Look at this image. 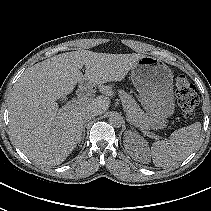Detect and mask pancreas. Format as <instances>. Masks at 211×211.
<instances>
[{"mask_svg":"<svg viewBox=\"0 0 211 211\" xmlns=\"http://www.w3.org/2000/svg\"><path fill=\"white\" fill-rule=\"evenodd\" d=\"M120 101L122 102L123 109L126 112L127 117L130 119V122L143 126L145 113L132 96L125 91H120Z\"/></svg>","mask_w":211,"mask_h":211,"instance_id":"obj_1","label":"pancreas"}]
</instances>
